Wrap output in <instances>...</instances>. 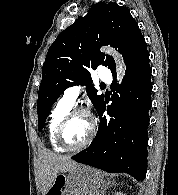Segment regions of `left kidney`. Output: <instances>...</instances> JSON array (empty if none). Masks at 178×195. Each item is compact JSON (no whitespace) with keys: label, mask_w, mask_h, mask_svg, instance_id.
<instances>
[{"label":"left kidney","mask_w":178,"mask_h":195,"mask_svg":"<svg viewBox=\"0 0 178 195\" xmlns=\"http://www.w3.org/2000/svg\"><path fill=\"white\" fill-rule=\"evenodd\" d=\"M114 195H125L122 192H116Z\"/></svg>","instance_id":"1"}]
</instances>
